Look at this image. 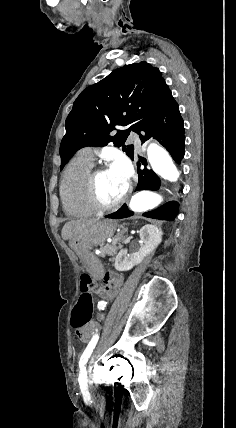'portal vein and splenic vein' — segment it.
Wrapping results in <instances>:
<instances>
[{
    "label": "portal vein and splenic vein",
    "instance_id": "obj_1",
    "mask_svg": "<svg viewBox=\"0 0 236 428\" xmlns=\"http://www.w3.org/2000/svg\"><path fill=\"white\" fill-rule=\"evenodd\" d=\"M107 242H112V240H107Z\"/></svg>",
    "mask_w": 236,
    "mask_h": 428
}]
</instances>
